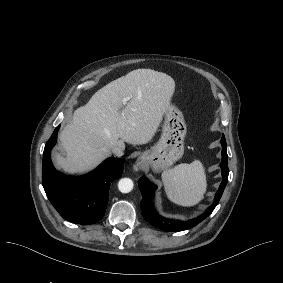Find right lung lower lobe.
<instances>
[{"instance_id":"1","label":"right lung lower lobe","mask_w":283,"mask_h":283,"mask_svg":"<svg viewBox=\"0 0 283 283\" xmlns=\"http://www.w3.org/2000/svg\"><path fill=\"white\" fill-rule=\"evenodd\" d=\"M60 125L47 141L43 153L42 181L46 195L59 214L77 224L98 222L105 214L108 190L123 173V159L108 158L95 170L79 177L64 176L53 167L50 152Z\"/></svg>"}]
</instances>
